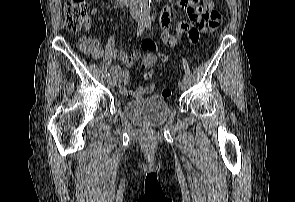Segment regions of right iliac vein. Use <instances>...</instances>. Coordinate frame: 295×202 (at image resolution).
I'll return each instance as SVG.
<instances>
[{"instance_id": "right-iliac-vein-1", "label": "right iliac vein", "mask_w": 295, "mask_h": 202, "mask_svg": "<svg viewBox=\"0 0 295 202\" xmlns=\"http://www.w3.org/2000/svg\"><path fill=\"white\" fill-rule=\"evenodd\" d=\"M107 84L109 87H114L116 85V81L114 79H107Z\"/></svg>"}]
</instances>
